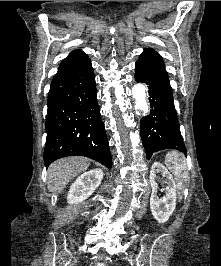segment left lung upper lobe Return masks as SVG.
<instances>
[{
  "label": "left lung upper lobe",
  "mask_w": 221,
  "mask_h": 266,
  "mask_svg": "<svg viewBox=\"0 0 221 266\" xmlns=\"http://www.w3.org/2000/svg\"><path fill=\"white\" fill-rule=\"evenodd\" d=\"M138 61L154 67H165L161 56L151 48L145 49L144 52L140 55Z\"/></svg>",
  "instance_id": "1"
}]
</instances>
